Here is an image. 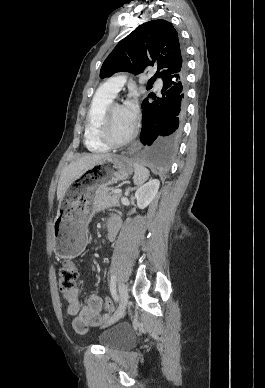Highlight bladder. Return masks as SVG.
<instances>
[{
    "instance_id": "31cf9c89",
    "label": "bladder",
    "mask_w": 265,
    "mask_h": 388,
    "mask_svg": "<svg viewBox=\"0 0 265 388\" xmlns=\"http://www.w3.org/2000/svg\"><path fill=\"white\" fill-rule=\"evenodd\" d=\"M131 332L129 327L113 325L99 336L100 342L104 346L121 348L129 345Z\"/></svg>"
}]
</instances>
